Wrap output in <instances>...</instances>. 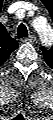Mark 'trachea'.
<instances>
[{
    "mask_svg": "<svg viewBox=\"0 0 53 120\" xmlns=\"http://www.w3.org/2000/svg\"><path fill=\"white\" fill-rule=\"evenodd\" d=\"M17 36L19 39L28 37V30L23 23H21L17 28Z\"/></svg>",
    "mask_w": 53,
    "mask_h": 120,
    "instance_id": "obj_1",
    "label": "trachea"
}]
</instances>
